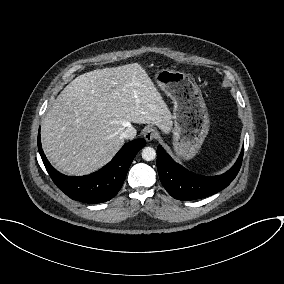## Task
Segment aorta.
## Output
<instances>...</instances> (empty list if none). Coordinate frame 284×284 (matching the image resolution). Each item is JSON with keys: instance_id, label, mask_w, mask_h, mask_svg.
Masks as SVG:
<instances>
[{"instance_id": "762f6f07", "label": "aorta", "mask_w": 284, "mask_h": 284, "mask_svg": "<svg viewBox=\"0 0 284 284\" xmlns=\"http://www.w3.org/2000/svg\"><path fill=\"white\" fill-rule=\"evenodd\" d=\"M142 158L145 161H152L156 158V151L152 147H145L142 149Z\"/></svg>"}]
</instances>
